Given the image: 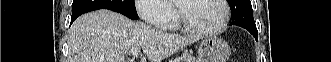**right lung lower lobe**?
<instances>
[{"label":"right lung lower lobe","instance_id":"obj_1","mask_svg":"<svg viewBox=\"0 0 331 62\" xmlns=\"http://www.w3.org/2000/svg\"><path fill=\"white\" fill-rule=\"evenodd\" d=\"M78 16H80V15H76V16H72V17H71V24H72V22H73Z\"/></svg>","mask_w":331,"mask_h":62}]
</instances>
